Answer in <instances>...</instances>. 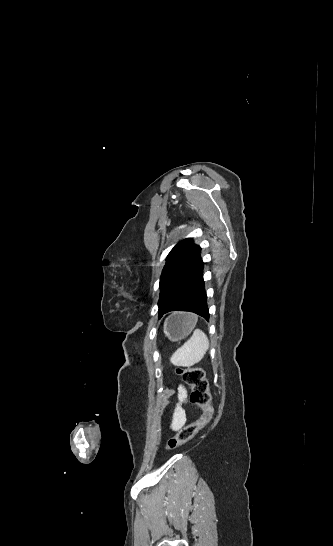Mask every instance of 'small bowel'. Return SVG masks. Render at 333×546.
<instances>
[{"mask_svg": "<svg viewBox=\"0 0 333 546\" xmlns=\"http://www.w3.org/2000/svg\"><path fill=\"white\" fill-rule=\"evenodd\" d=\"M178 397L180 402H185L187 400V390L183 386L179 387ZM187 419L188 415L186 411L181 407V405H178L173 413L171 429L173 431L181 429L186 423Z\"/></svg>", "mask_w": 333, "mask_h": 546, "instance_id": "small-bowel-1", "label": "small bowel"}]
</instances>
